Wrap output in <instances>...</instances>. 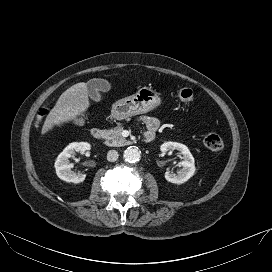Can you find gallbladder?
<instances>
[{"label":"gallbladder","mask_w":272,"mask_h":272,"mask_svg":"<svg viewBox=\"0 0 272 272\" xmlns=\"http://www.w3.org/2000/svg\"><path fill=\"white\" fill-rule=\"evenodd\" d=\"M110 89V84L104 79H91L87 82V90L89 97L96 103L102 101L100 91H107Z\"/></svg>","instance_id":"bac80fb5"}]
</instances>
